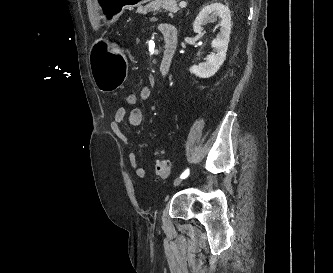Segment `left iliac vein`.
Listing matches in <instances>:
<instances>
[{
    "mask_svg": "<svg viewBox=\"0 0 333 273\" xmlns=\"http://www.w3.org/2000/svg\"><path fill=\"white\" fill-rule=\"evenodd\" d=\"M182 180H183V179H181V178H177V179L173 182V186L176 187V186L180 185L181 182H182Z\"/></svg>",
    "mask_w": 333,
    "mask_h": 273,
    "instance_id": "4c4485c4",
    "label": "left iliac vein"
}]
</instances>
